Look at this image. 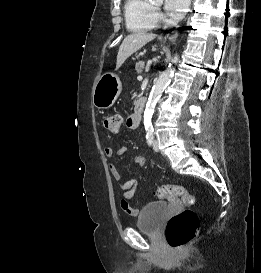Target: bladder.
I'll return each instance as SVG.
<instances>
[{"instance_id": "31cf9c89", "label": "bladder", "mask_w": 261, "mask_h": 273, "mask_svg": "<svg viewBox=\"0 0 261 273\" xmlns=\"http://www.w3.org/2000/svg\"><path fill=\"white\" fill-rule=\"evenodd\" d=\"M170 205L167 202H150L139 213L136 221L138 229L146 234H157L168 214Z\"/></svg>"}]
</instances>
